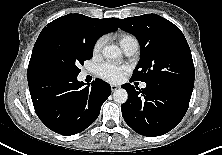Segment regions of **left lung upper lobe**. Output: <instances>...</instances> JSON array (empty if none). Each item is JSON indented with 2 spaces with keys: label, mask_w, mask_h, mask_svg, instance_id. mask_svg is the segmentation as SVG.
<instances>
[{
  "label": "left lung upper lobe",
  "mask_w": 222,
  "mask_h": 155,
  "mask_svg": "<svg viewBox=\"0 0 222 155\" xmlns=\"http://www.w3.org/2000/svg\"><path fill=\"white\" fill-rule=\"evenodd\" d=\"M116 23L120 29L133 34L140 44V61L132 80L193 91L195 69L192 55L177 26L156 14L116 19Z\"/></svg>",
  "instance_id": "obj_1"
}]
</instances>
